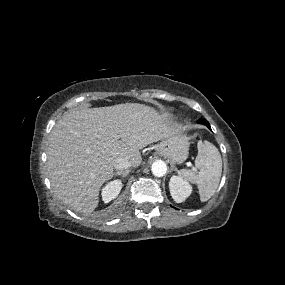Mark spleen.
Here are the masks:
<instances>
[{"mask_svg":"<svg viewBox=\"0 0 285 285\" xmlns=\"http://www.w3.org/2000/svg\"><path fill=\"white\" fill-rule=\"evenodd\" d=\"M198 154L195 159L196 171L182 169L179 176L197 185L200 200L205 202L215 193L222 173V159L218 149L208 141H199Z\"/></svg>","mask_w":285,"mask_h":285,"instance_id":"1","label":"spleen"}]
</instances>
